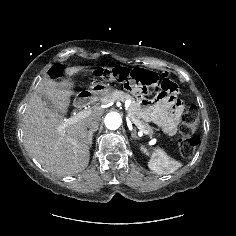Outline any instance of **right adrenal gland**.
Masks as SVG:
<instances>
[{"label": "right adrenal gland", "mask_w": 236, "mask_h": 236, "mask_svg": "<svg viewBox=\"0 0 236 236\" xmlns=\"http://www.w3.org/2000/svg\"><path fill=\"white\" fill-rule=\"evenodd\" d=\"M96 131H97V129H92V130H89V131H88V136H87V138H88V144H89V146L92 145L93 133L96 132Z\"/></svg>", "instance_id": "obj_1"}]
</instances>
